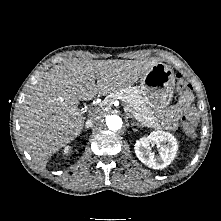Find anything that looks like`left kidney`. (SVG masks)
I'll use <instances>...</instances> for the list:
<instances>
[{"label":"left kidney","instance_id":"1","mask_svg":"<svg viewBox=\"0 0 221 221\" xmlns=\"http://www.w3.org/2000/svg\"><path fill=\"white\" fill-rule=\"evenodd\" d=\"M150 143L157 145L160 150L159 155H154L150 151ZM134 149L137 158L143 164L153 169H163L176 157L178 143L169 132L153 131L136 141Z\"/></svg>","mask_w":221,"mask_h":221}]
</instances>
